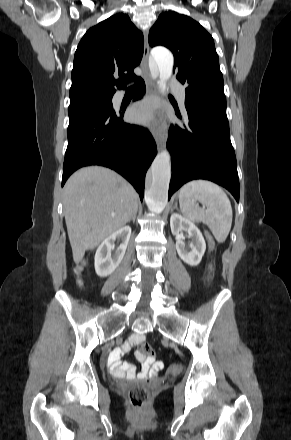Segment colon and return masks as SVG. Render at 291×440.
<instances>
[{
    "mask_svg": "<svg viewBox=\"0 0 291 440\" xmlns=\"http://www.w3.org/2000/svg\"><path fill=\"white\" fill-rule=\"evenodd\" d=\"M208 247H209L210 254H212L215 250V242L211 238H208ZM87 264H88V261L84 259L81 262L80 267L83 268ZM209 278H210V276H209ZM137 353H138L139 357L147 356L151 359H155V353L146 341H143L138 345ZM149 398H150L149 389L145 386H142V385H135V386L131 387L129 390V393H128L129 402L132 405V407L135 409H141V408L146 407L149 402Z\"/></svg>",
    "mask_w": 291,
    "mask_h": 440,
    "instance_id": "obj_1",
    "label": "colon"
}]
</instances>
